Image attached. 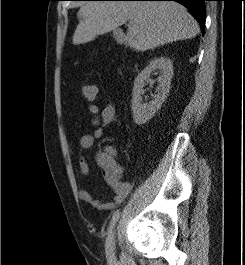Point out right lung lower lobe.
<instances>
[{"instance_id": "1", "label": "right lung lower lobe", "mask_w": 245, "mask_h": 265, "mask_svg": "<svg viewBox=\"0 0 245 265\" xmlns=\"http://www.w3.org/2000/svg\"><path fill=\"white\" fill-rule=\"evenodd\" d=\"M123 1H176L185 6L197 20L204 34L205 30V1L206 0H123Z\"/></svg>"}]
</instances>
